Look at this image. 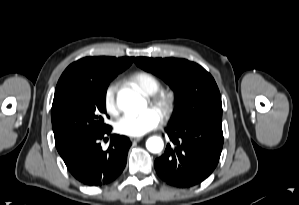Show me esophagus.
<instances>
[{"instance_id": "obj_1", "label": "esophagus", "mask_w": 299, "mask_h": 205, "mask_svg": "<svg viewBox=\"0 0 299 205\" xmlns=\"http://www.w3.org/2000/svg\"><path fill=\"white\" fill-rule=\"evenodd\" d=\"M142 139V137H130V140L132 142H135V141H140Z\"/></svg>"}]
</instances>
